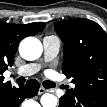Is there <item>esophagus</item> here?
<instances>
[{
    "mask_svg": "<svg viewBox=\"0 0 107 107\" xmlns=\"http://www.w3.org/2000/svg\"><path fill=\"white\" fill-rule=\"evenodd\" d=\"M47 91H48V90H46L45 88L40 87L39 90H38V94L41 95V94H43V93H45V92H47Z\"/></svg>",
    "mask_w": 107,
    "mask_h": 107,
    "instance_id": "esophagus-1",
    "label": "esophagus"
}]
</instances>
